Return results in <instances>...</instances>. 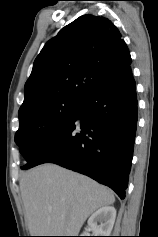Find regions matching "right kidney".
I'll list each match as a JSON object with an SVG mask.
<instances>
[{
    "label": "right kidney",
    "instance_id": "1",
    "mask_svg": "<svg viewBox=\"0 0 158 237\" xmlns=\"http://www.w3.org/2000/svg\"><path fill=\"white\" fill-rule=\"evenodd\" d=\"M115 218L116 209L113 206L101 207L88 219V228L94 236H110Z\"/></svg>",
    "mask_w": 158,
    "mask_h": 237
}]
</instances>
